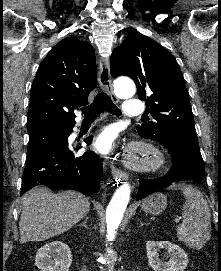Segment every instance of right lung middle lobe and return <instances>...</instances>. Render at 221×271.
I'll return each mask as SVG.
<instances>
[{"mask_svg": "<svg viewBox=\"0 0 221 271\" xmlns=\"http://www.w3.org/2000/svg\"><path fill=\"white\" fill-rule=\"evenodd\" d=\"M71 130L72 127L48 126L28 131L29 145L27 153L44 146L67 144Z\"/></svg>", "mask_w": 221, "mask_h": 271, "instance_id": "obj_1", "label": "right lung middle lobe"}]
</instances>
